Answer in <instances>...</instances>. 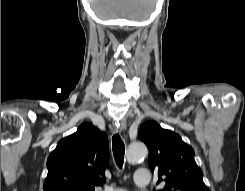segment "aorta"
Masks as SVG:
<instances>
[{"label": "aorta", "mask_w": 245, "mask_h": 191, "mask_svg": "<svg viewBox=\"0 0 245 191\" xmlns=\"http://www.w3.org/2000/svg\"><path fill=\"white\" fill-rule=\"evenodd\" d=\"M148 150L142 142H135L129 145L127 150V161L134 164L147 156Z\"/></svg>", "instance_id": "1"}]
</instances>
